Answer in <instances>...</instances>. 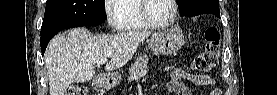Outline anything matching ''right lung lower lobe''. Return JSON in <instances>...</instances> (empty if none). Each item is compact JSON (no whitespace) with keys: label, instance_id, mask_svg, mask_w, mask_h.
I'll return each instance as SVG.
<instances>
[{"label":"right lung lower lobe","instance_id":"obj_1","mask_svg":"<svg viewBox=\"0 0 277 95\" xmlns=\"http://www.w3.org/2000/svg\"><path fill=\"white\" fill-rule=\"evenodd\" d=\"M60 30H55L52 32H48L45 34H41V51H42V55L46 50L47 44L50 41V39L59 32Z\"/></svg>","mask_w":277,"mask_h":95}]
</instances>
